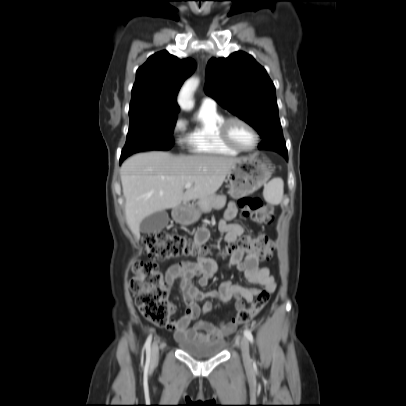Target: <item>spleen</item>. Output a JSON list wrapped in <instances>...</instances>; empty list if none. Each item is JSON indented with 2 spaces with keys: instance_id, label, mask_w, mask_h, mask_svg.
<instances>
[{
  "instance_id": "obj_1",
  "label": "spleen",
  "mask_w": 406,
  "mask_h": 406,
  "mask_svg": "<svg viewBox=\"0 0 406 406\" xmlns=\"http://www.w3.org/2000/svg\"><path fill=\"white\" fill-rule=\"evenodd\" d=\"M284 183L281 178H274L264 187V198L271 204H279L283 199Z\"/></svg>"
}]
</instances>
